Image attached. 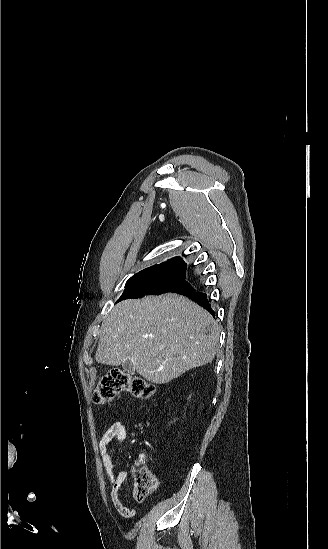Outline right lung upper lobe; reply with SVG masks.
Wrapping results in <instances>:
<instances>
[{
    "label": "right lung upper lobe",
    "mask_w": 328,
    "mask_h": 549,
    "mask_svg": "<svg viewBox=\"0 0 328 549\" xmlns=\"http://www.w3.org/2000/svg\"><path fill=\"white\" fill-rule=\"evenodd\" d=\"M186 264L181 259V257H174L165 263L159 265H154L145 269L146 271L159 270V271H172V272H181L185 273ZM144 271V270H143Z\"/></svg>",
    "instance_id": "obj_1"
}]
</instances>
